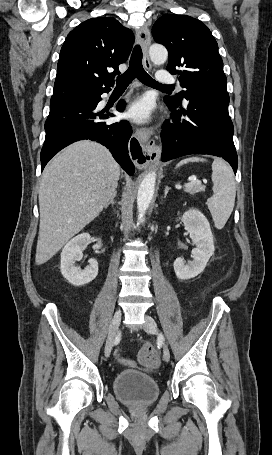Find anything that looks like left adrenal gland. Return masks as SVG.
<instances>
[{
  "label": "left adrenal gland",
  "instance_id": "a2214340",
  "mask_svg": "<svg viewBox=\"0 0 272 455\" xmlns=\"http://www.w3.org/2000/svg\"><path fill=\"white\" fill-rule=\"evenodd\" d=\"M169 190H170V187L166 186V187H165L164 198H166V196H167Z\"/></svg>",
  "mask_w": 272,
  "mask_h": 455
}]
</instances>
